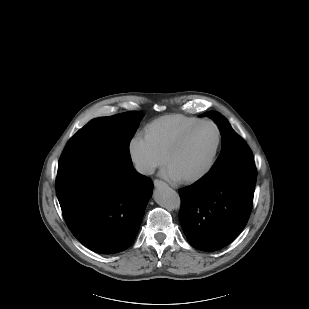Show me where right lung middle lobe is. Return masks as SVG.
<instances>
[{"label":"right lung middle lobe","instance_id":"obj_1","mask_svg":"<svg viewBox=\"0 0 309 309\" xmlns=\"http://www.w3.org/2000/svg\"><path fill=\"white\" fill-rule=\"evenodd\" d=\"M142 117L141 112L131 111L91 120L68 142L59 161L56 182L96 158L131 162L129 144Z\"/></svg>","mask_w":309,"mask_h":309}]
</instances>
